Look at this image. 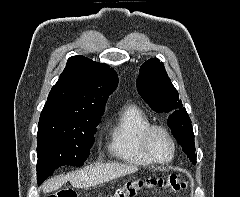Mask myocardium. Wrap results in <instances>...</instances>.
<instances>
[{
  "instance_id": "obj_1",
  "label": "myocardium",
  "mask_w": 240,
  "mask_h": 197,
  "mask_svg": "<svg viewBox=\"0 0 240 197\" xmlns=\"http://www.w3.org/2000/svg\"><path fill=\"white\" fill-rule=\"evenodd\" d=\"M155 131H161L163 132L167 138L169 139L171 146H172V153L169 159L167 160H159L154 153L151 150V146H150V138L151 135L155 132ZM141 146L143 149V152L145 153V155L155 164L158 165H168L170 164L176 155V150H177V146H176V141L173 137V135L171 134V132L169 131L168 128H166L163 125L160 124H150L148 127H146L142 134H141Z\"/></svg>"
}]
</instances>
